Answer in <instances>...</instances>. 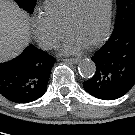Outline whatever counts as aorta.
Instances as JSON below:
<instances>
[{
    "instance_id": "762f6f07",
    "label": "aorta",
    "mask_w": 135,
    "mask_h": 135,
    "mask_svg": "<svg viewBox=\"0 0 135 135\" xmlns=\"http://www.w3.org/2000/svg\"><path fill=\"white\" fill-rule=\"evenodd\" d=\"M78 70L83 78H92L96 71L95 63L90 59H83L78 65Z\"/></svg>"
}]
</instances>
